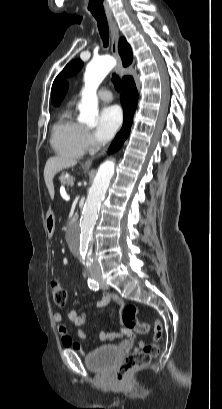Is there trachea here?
<instances>
[{
	"mask_svg": "<svg viewBox=\"0 0 222 409\" xmlns=\"http://www.w3.org/2000/svg\"><path fill=\"white\" fill-rule=\"evenodd\" d=\"M97 24H98V29H99L101 39L103 41V45H104V47H107L108 43H109V27H108V23H107V21L97 19ZM112 81H113V84H114L116 90L120 92L121 89H122V82L119 79L117 74H113Z\"/></svg>",
	"mask_w": 222,
	"mask_h": 409,
	"instance_id": "3493384b",
	"label": "trachea"
}]
</instances>
